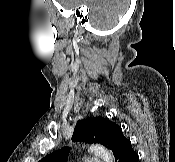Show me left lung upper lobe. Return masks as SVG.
<instances>
[{
	"label": "left lung upper lobe",
	"mask_w": 175,
	"mask_h": 162,
	"mask_svg": "<svg viewBox=\"0 0 175 162\" xmlns=\"http://www.w3.org/2000/svg\"><path fill=\"white\" fill-rule=\"evenodd\" d=\"M123 136L122 129L117 124L99 116L77 122L72 141L86 143H101L113 151L119 139ZM70 147H64L47 155L39 162H65Z\"/></svg>",
	"instance_id": "1"
}]
</instances>
